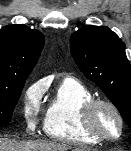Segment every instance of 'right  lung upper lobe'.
Returning a JSON list of instances; mask_svg holds the SVG:
<instances>
[{"label":"right lung upper lobe","mask_w":131,"mask_h":151,"mask_svg":"<svg viewBox=\"0 0 131 151\" xmlns=\"http://www.w3.org/2000/svg\"><path fill=\"white\" fill-rule=\"evenodd\" d=\"M45 37L25 25L0 30V81L26 80L36 65Z\"/></svg>","instance_id":"right-lung-upper-lobe-1"}]
</instances>
